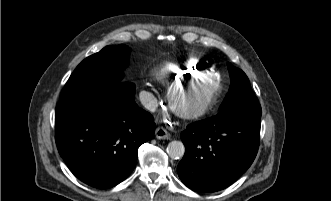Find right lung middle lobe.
<instances>
[{
    "label": "right lung middle lobe",
    "instance_id": "obj_1",
    "mask_svg": "<svg viewBox=\"0 0 331 201\" xmlns=\"http://www.w3.org/2000/svg\"><path fill=\"white\" fill-rule=\"evenodd\" d=\"M129 54L126 45H112L84 59L67 81L60 102L101 85L124 82Z\"/></svg>",
    "mask_w": 331,
    "mask_h": 201
}]
</instances>
